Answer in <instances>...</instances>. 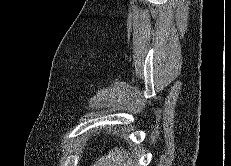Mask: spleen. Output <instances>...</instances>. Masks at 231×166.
<instances>
[{
	"label": "spleen",
	"mask_w": 231,
	"mask_h": 166,
	"mask_svg": "<svg viewBox=\"0 0 231 166\" xmlns=\"http://www.w3.org/2000/svg\"><path fill=\"white\" fill-rule=\"evenodd\" d=\"M94 166H136V161L132 160L124 149L115 148L96 161Z\"/></svg>",
	"instance_id": "1"
}]
</instances>
